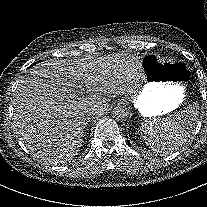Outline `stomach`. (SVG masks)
I'll return each instance as SVG.
<instances>
[{"label": "stomach", "mask_w": 207, "mask_h": 207, "mask_svg": "<svg viewBox=\"0 0 207 207\" xmlns=\"http://www.w3.org/2000/svg\"><path fill=\"white\" fill-rule=\"evenodd\" d=\"M140 68L145 85L135 101L141 116L150 118L175 110L184 99L190 71L183 61H164L156 54L143 55Z\"/></svg>", "instance_id": "0dacf381"}]
</instances>
